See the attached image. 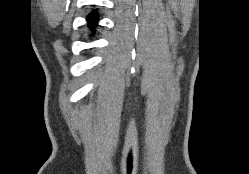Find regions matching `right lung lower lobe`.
I'll use <instances>...</instances> for the list:
<instances>
[{"mask_svg":"<svg viewBox=\"0 0 249 174\" xmlns=\"http://www.w3.org/2000/svg\"><path fill=\"white\" fill-rule=\"evenodd\" d=\"M97 19H98V16L95 12H92L91 14H89V16L87 17V20L91 28L95 27Z\"/></svg>","mask_w":249,"mask_h":174,"instance_id":"98d812e1","label":"right lung lower lobe"}]
</instances>
